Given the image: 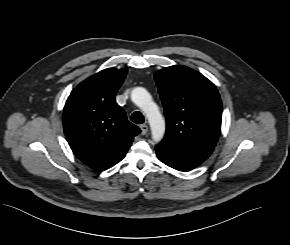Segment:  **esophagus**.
<instances>
[{
    "instance_id": "esophagus-1",
    "label": "esophagus",
    "mask_w": 290,
    "mask_h": 245,
    "mask_svg": "<svg viewBox=\"0 0 290 245\" xmlns=\"http://www.w3.org/2000/svg\"><path fill=\"white\" fill-rule=\"evenodd\" d=\"M140 129H141V133L143 135L147 134L148 133V130H149V128H148V126L146 124L140 125Z\"/></svg>"
}]
</instances>
